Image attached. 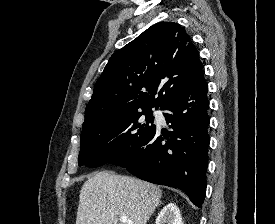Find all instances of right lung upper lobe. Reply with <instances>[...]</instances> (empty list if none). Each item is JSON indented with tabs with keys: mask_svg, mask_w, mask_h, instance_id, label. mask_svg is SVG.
Segmentation results:
<instances>
[{
	"mask_svg": "<svg viewBox=\"0 0 275 224\" xmlns=\"http://www.w3.org/2000/svg\"><path fill=\"white\" fill-rule=\"evenodd\" d=\"M201 73L190 36L177 23H157L111 56L86 107L83 129L124 113L163 108Z\"/></svg>",
	"mask_w": 275,
	"mask_h": 224,
	"instance_id": "obj_1",
	"label": "right lung upper lobe"
}]
</instances>
